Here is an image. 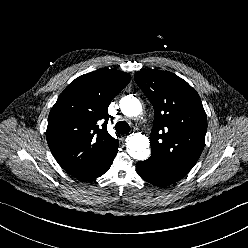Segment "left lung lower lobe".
Returning <instances> with one entry per match:
<instances>
[{
  "instance_id": "left-lung-lower-lobe-1",
  "label": "left lung lower lobe",
  "mask_w": 248,
  "mask_h": 248,
  "mask_svg": "<svg viewBox=\"0 0 248 248\" xmlns=\"http://www.w3.org/2000/svg\"><path fill=\"white\" fill-rule=\"evenodd\" d=\"M136 172L142 179L158 187L171 185L185 177L153 156L137 162Z\"/></svg>"
}]
</instances>
